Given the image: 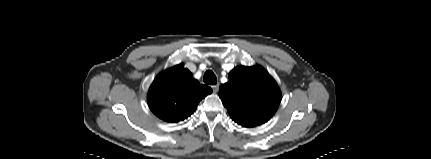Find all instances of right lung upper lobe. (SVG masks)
Instances as JSON below:
<instances>
[{
	"label": "right lung upper lobe",
	"instance_id": "cb5924a9",
	"mask_svg": "<svg viewBox=\"0 0 431 159\" xmlns=\"http://www.w3.org/2000/svg\"><path fill=\"white\" fill-rule=\"evenodd\" d=\"M211 92L210 87L199 84L191 72L179 64L156 77L148 92V104L157 117L175 123L189 117Z\"/></svg>",
	"mask_w": 431,
	"mask_h": 159
}]
</instances>
